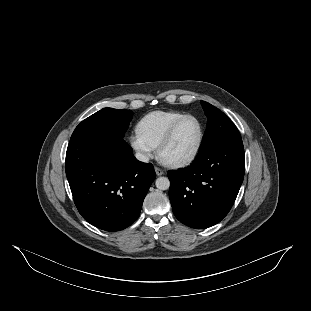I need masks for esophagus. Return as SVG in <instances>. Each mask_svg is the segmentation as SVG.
Returning <instances> with one entry per match:
<instances>
[{"mask_svg": "<svg viewBox=\"0 0 311 311\" xmlns=\"http://www.w3.org/2000/svg\"><path fill=\"white\" fill-rule=\"evenodd\" d=\"M154 170H155L157 176H161L164 174V171L159 167L154 166Z\"/></svg>", "mask_w": 311, "mask_h": 311, "instance_id": "obj_1", "label": "esophagus"}]
</instances>
